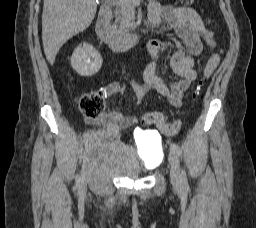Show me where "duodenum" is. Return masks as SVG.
I'll return each mask as SVG.
<instances>
[{
	"label": "duodenum",
	"mask_w": 256,
	"mask_h": 228,
	"mask_svg": "<svg viewBox=\"0 0 256 228\" xmlns=\"http://www.w3.org/2000/svg\"><path fill=\"white\" fill-rule=\"evenodd\" d=\"M111 14L112 0H108L102 6L96 22V33L101 41L114 51H125L138 44L142 34L138 32H116L111 25Z\"/></svg>",
	"instance_id": "duodenum-1"
}]
</instances>
